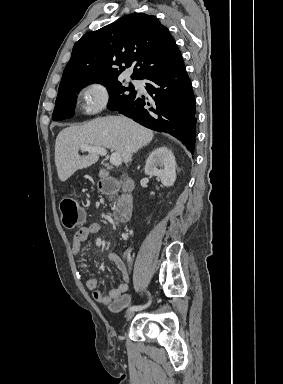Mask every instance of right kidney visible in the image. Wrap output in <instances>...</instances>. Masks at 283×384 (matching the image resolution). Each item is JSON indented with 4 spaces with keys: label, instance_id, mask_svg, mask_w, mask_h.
Here are the masks:
<instances>
[{
    "label": "right kidney",
    "instance_id": "1",
    "mask_svg": "<svg viewBox=\"0 0 283 384\" xmlns=\"http://www.w3.org/2000/svg\"><path fill=\"white\" fill-rule=\"evenodd\" d=\"M144 170L147 176L160 178L163 186H173L176 180L175 156L165 146L156 148L151 152Z\"/></svg>",
    "mask_w": 283,
    "mask_h": 384
}]
</instances>
